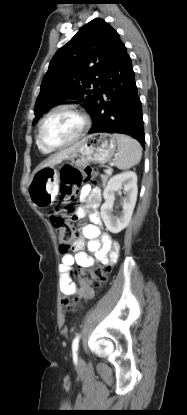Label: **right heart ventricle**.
<instances>
[{"label":"right heart ventricle","instance_id":"right-heart-ventricle-1","mask_svg":"<svg viewBox=\"0 0 187 415\" xmlns=\"http://www.w3.org/2000/svg\"><path fill=\"white\" fill-rule=\"evenodd\" d=\"M37 145H38V148L43 152V153H50L51 151H49V150H47V149H45V148H43L39 143H37Z\"/></svg>","mask_w":187,"mask_h":415}]
</instances>
